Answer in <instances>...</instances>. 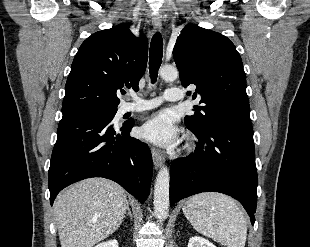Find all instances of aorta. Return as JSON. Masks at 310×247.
Instances as JSON below:
<instances>
[{
	"label": "aorta",
	"mask_w": 310,
	"mask_h": 247,
	"mask_svg": "<svg viewBox=\"0 0 310 247\" xmlns=\"http://www.w3.org/2000/svg\"><path fill=\"white\" fill-rule=\"evenodd\" d=\"M159 74L163 80L174 81L178 77V70L173 66H163ZM169 187V169L163 166L156 176L154 185V214L159 221H163L168 217L170 205Z\"/></svg>",
	"instance_id": "obj_1"
}]
</instances>
